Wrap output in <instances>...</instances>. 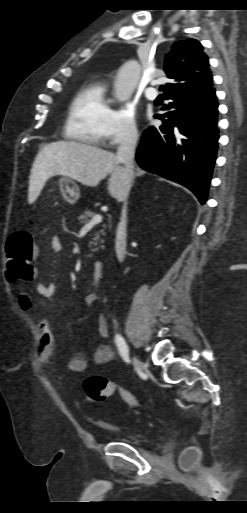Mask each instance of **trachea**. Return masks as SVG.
I'll list each match as a JSON object with an SVG mask.
<instances>
[{
  "label": "trachea",
  "mask_w": 247,
  "mask_h": 513,
  "mask_svg": "<svg viewBox=\"0 0 247 513\" xmlns=\"http://www.w3.org/2000/svg\"><path fill=\"white\" fill-rule=\"evenodd\" d=\"M164 88H165V87H164L163 85H162V86H160V90H161V91H162V90H164Z\"/></svg>",
  "instance_id": "1"
}]
</instances>
